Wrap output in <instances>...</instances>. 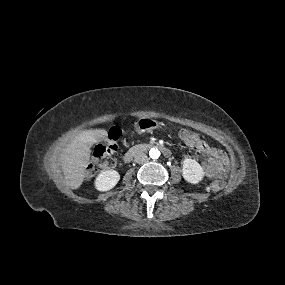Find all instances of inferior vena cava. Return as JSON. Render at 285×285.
Returning <instances> with one entry per match:
<instances>
[{"label":"inferior vena cava","mask_w":285,"mask_h":285,"mask_svg":"<svg viewBox=\"0 0 285 285\" xmlns=\"http://www.w3.org/2000/svg\"><path fill=\"white\" fill-rule=\"evenodd\" d=\"M147 155L145 153H138L135 157H134V161L136 163H144L147 160Z\"/></svg>","instance_id":"inferior-vena-cava-1"}]
</instances>
